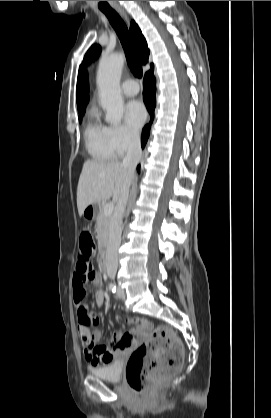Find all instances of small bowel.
Here are the masks:
<instances>
[{"instance_id": "small-bowel-1", "label": "small bowel", "mask_w": 271, "mask_h": 418, "mask_svg": "<svg viewBox=\"0 0 271 418\" xmlns=\"http://www.w3.org/2000/svg\"><path fill=\"white\" fill-rule=\"evenodd\" d=\"M100 286L101 279L96 272H93L90 261L76 262V272L73 276V312L80 314L79 336L84 348L86 359L93 366H104L118 357L125 355L131 347L137 343L135 335H140L146 323L138 318H129L128 323L135 326L134 332H114L111 342L106 345H98L101 339V332L94 330L99 325L97 319H92V306L89 305L86 296V285ZM104 302V293L98 290L95 295L97 307H101Z\"/></svg>"}]
</instances>
